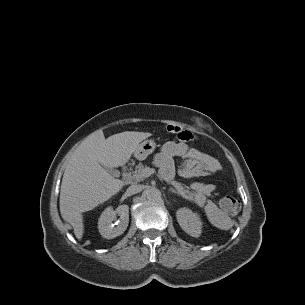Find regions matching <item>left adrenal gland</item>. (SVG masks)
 Listing matches in <instances>:
<instances>
[{"label":"left adrenal gland","mask_w":305,"mask_h":305,"mask_svg":"<svg viewBox=\"0 0 305 305\" xmlns=\"http://www.w3.org/2000/svg\"><path fill=\"white\" fill-rule=\"evenodd\" d=\"M168 191H171V192L176 193V194H178V195H179V192H178V191H176V190H175V189H173V188H170Z\"/></svg>","instance_id":"left-adrenal-gland-1"}]
</instances>
